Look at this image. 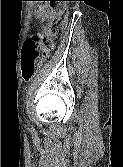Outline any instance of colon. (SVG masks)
I'll return each mask as SVG.
<instances>
[{"instance_id":"colon-1","label":"colon","mask_w":123,"mask_h":167,"mask_svg":"<svg viewBox=\"0 0 123 167\" xmlns=\"http://www.w3.org/2000/svg\"><path fill=\"white\" fill-rule=\"evenodd\" d=\"M38 17L43 24V32L31 35L23 45L22 77L25 81L32 78L39 63L47 58L53 46L52 38L64 31L67 10L64 6H44L38 10Z\"/></svg>"}]
</instances>
